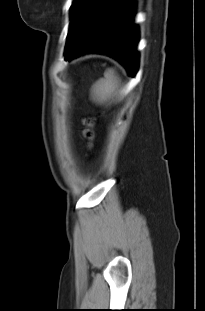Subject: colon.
Here are the masks:
<instances>
[{"label": "colon", "mask_w": 205, "mask_h": 311, "mask_svg": "<svg viewBox=\"0 0 205 311\" xmlns=\"http://www.w3.org/2000/svg\"><path fill=\"white\" fill-rule=\"evenodd\" d=\"M85 136L89 141H92L94 138V132L91 127V123L88 124V127L85 130Z\"/></svg>", "instance_id": "5ec220e1"}]
</instances>
